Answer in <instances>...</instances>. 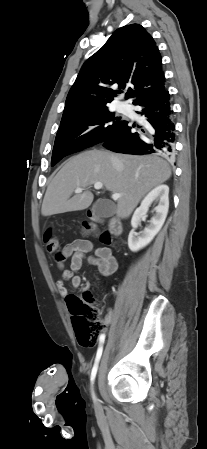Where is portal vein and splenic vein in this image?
I'll return each mask as SVG.
<instances>
[{
  "label": "portal vein and splenic vein",
  "instance_id": "portal-vein-and-splenic-vein-1",
  "mask_svg": "<svg viewBox=\"0 0 207 449\" xmlns=\"http://www.w3.org/2000/svg\"><path fill=\"white\" fill-rule=\"evenodd\" d=\"M92 184L94 185V188L96 190H100L103 188V184L101 182H92ZM82 191H83L82 187H78L75 189V193H81ZM119 197H121V194H118V193L112 194L113 200H118Z\"/></svg>",
  "mask_w": 207,
  "mask_h": 449
}]
</instances>
